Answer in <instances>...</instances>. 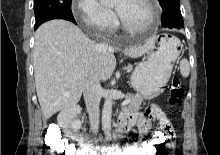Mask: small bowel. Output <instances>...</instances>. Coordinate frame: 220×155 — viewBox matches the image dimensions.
I'll use <instances>...</instances> for the list:
<instances>
[{
    "mask_svg": "<svg viewBox=\"0 0 220 155\" xmlns=\"http://www.w3.org/2000/svg\"><path fill=\"white\" fill-rule=\"evenodd\" d=\"M158 120L159 128L164 129V135H167V144H157L154 147L153 155H156L160 145H174V130L165 114L159 109V105H146V112L142 113H125L121 117V121L126 125L128 131L136 127L141 136L146 137L150 133L151 121ZM151 139V138H149ZM148 139V140H149ZM146 140L145 142H148ZM138 145H130L126 150V155H148L149 147H145V151H140ZM107 155H121L118 149L112 148L107 151Z\"/></svg>",
    "mask_w": 220,
    "mask_h": 155,
    "instance_id": "c3829d8e",
    "label": "small bowel"
}]
</instances>
